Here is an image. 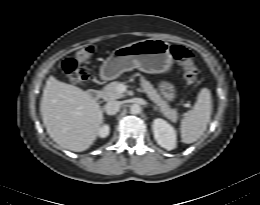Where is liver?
<instances>
[{
    "instance_id": "obj_1",
    "label": "liver",
    "mask_w": 260,
    "mask_h": 205,
    "mask_svg": "<svg viewBox=\"0 0 260 205\" xmlns=\"http://www.w3.org/2000/svg\"><path fill=\"white\" fill-rule=\"evenodd\" d=\"M40 112L47 133L60 147L88 149L99 135L103 113L87 91L50 76L43 89Z\"/></svg>"
}]
</instances>
